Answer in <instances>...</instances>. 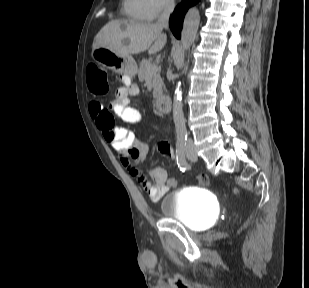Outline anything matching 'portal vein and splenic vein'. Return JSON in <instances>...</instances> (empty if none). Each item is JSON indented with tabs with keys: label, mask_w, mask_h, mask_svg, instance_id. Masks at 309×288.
Segmentation results:
<instances>
[{
	"label": "portal vein and splenic vein",
	"mask_w": 309,
	"mask_h": 288,
	"mask_svg": "<svg viewBox=\"0 0 309 288\" xmlns=\"http://www.w3.org/2000/svg\"><path fill=\"white\" fill-rule=\"evenodd\" d=\"M158 70H160V68L157 67L156 65H153L152 67L148 69V74L156 73Z\"/></svg>",
	"instance_id": "portal-vein-and-splenic-vein-1"
}]
</instances>
